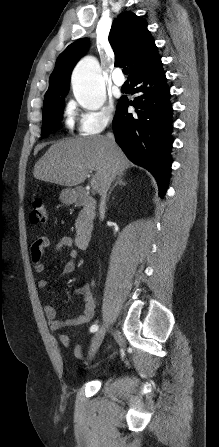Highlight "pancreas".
Segmentation results:
<instances>
[{"mask_svg":"<svg viewBox=\"0 0 219 447\" xmlns=\"http://www.w3.org/2000/svg\"><path fill=\"white\" fill-rule=\"evenodd\" d=\"M88 221V219H83L82 216L76 220L75 227L78 231L82 229V227L85 225V223ZM91 227V225H89Z\"/></svg>","mask_w":219,"mask_h":447,"instance_id":"pancreas-1","label":"pancreas"}]
</instances>
